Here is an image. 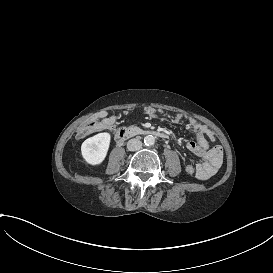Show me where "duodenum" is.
Listing matches in <instances>:
<instances>
[{"instance_id": "410a0bca", "label": "duodenum", "mask_w": 273, "mask_h": 273, "mask_svg": "<svg viewBox=\"0 0 273 273\" xmlns=\"http://www.w3.org/2000/svg\"><path fill=\"white\" fill-rule=\"evenodd\" d=\"M138 135H154L162 139L167 138V134L159 130H143L137 127L121 128L116 132V140L118 143H123L129 138Z\"/></svg>"}]
</instances>
